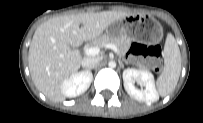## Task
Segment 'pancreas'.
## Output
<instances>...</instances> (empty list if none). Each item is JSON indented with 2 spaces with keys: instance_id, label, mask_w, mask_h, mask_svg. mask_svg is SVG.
Listing matches in <instances>:
<instances>
[{
  "instance_id": "obj_1",
  "label": "pancreas",
  "mask_w": 203,
  "mask_h": 123,
  "mask_svg": "<svg viewBox=\"0 0 203 123\" xmlns=\"http://www.w3.org/2000/svg\"><path fill=\"white\" fill-rule=\"evenodd\" d=\"M106 43H112L116 45L118 48V53L120 54H125L130 46L129 39L123 35L112 36L109 34H103L93 41V44L99 47H102Z\"/></svg>"
}]
</instances>
